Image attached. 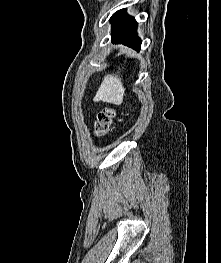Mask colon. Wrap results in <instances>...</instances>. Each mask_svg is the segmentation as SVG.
Returning a JSON list of instances; mask_svg holds the SVG:
<instances>
[{
    "mask_svg": "<svg viewBox=\"0 0 221 263\" xmlns=\"http://www.w3.org/2000/svg\"><path fill=\"white\" fill-rule=\"evenodd\" d=\"M115 118V112L111 109H104L98 114L96 122V130L100 134H106L109 130V126Z\"/></svg>",
    "mask_w": 221,
    "mask_h": 263,
    "instance_id": "obj_1",
    "label": "colon"
}]
</instances>
